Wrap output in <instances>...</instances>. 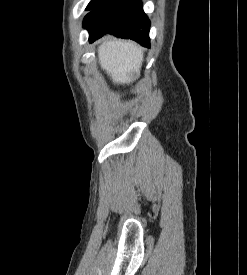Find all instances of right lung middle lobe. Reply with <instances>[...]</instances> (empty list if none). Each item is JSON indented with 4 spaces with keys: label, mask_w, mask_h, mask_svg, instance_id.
<instances>
[{
    "label": "right lung middle lobe",
    "mask_w": 247,
    "mask_h": 275,
    "mask_svg": "<svg viewBox=\"0 0 247 275\" xmlns=\"http://www.w3.org/2000/svg\"><path fill=\"white\" fill-rule=\"evenodd\" d=\"M106 1H108V0H91V2L88 4L86 10H92V9L102 5Z\"/></svg>",
    "instance_id": "obj_1"
}]
</instances>
